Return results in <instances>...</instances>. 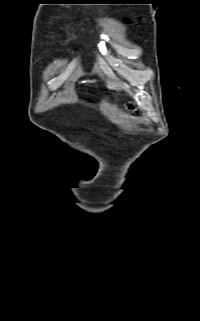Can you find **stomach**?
Segmentation results:
<instances>
[{
    "label": "stomach",
    "instance_id": "obj_1",
    "mask_svg": "<svg viewBox=\"0 0 200 321\" xmlns=\"http://www.w3.org/2000/svg\"><path fill=\"white\" fill-rule=\"evenodd\" d=\"M108 86H109V88L114 89V90L120 89V86L114 82H109Z\"/></svg>",
    "mask_w": 200,
    "mask_h": 321
}]
</instances>
